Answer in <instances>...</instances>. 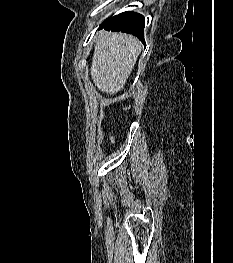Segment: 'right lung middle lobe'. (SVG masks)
<instances>
[{
  "label": "right lung middle lobe",
  "instance_id": "dd1d6c3e",
  "mask_svg": "<svg viewBox=\"0 0 233 263\" xmlns=\"http://www.w3.org/2000/svg\"><path fill=\"white\" fill-rule=\"evenodd\" d=\"M115 16L108 18L104 23L109 22L111 19H113Z\"/></svg>",
  "mask_w": 233,
  "mask_h": 263
}]
</instances>
